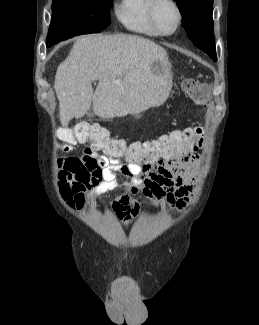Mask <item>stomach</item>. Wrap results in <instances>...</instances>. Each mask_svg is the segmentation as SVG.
<instances>
[{
	"label": "stomach",
	"instance_id": "obj_1",
	"mask_svg": "<svg viewBox=\"0 0 259 325\" xmlns=\"http://www.w3.org/2000/svg\"><path fill=\"white\" fill-rule=\"evenodd\" d=\"M135 117L140 118V115H135Z\"/></svg>",
	"mask_w": 259,
	"mask_h": 325
}]
</instances>
